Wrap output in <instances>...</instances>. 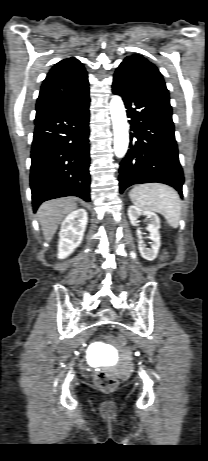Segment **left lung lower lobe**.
Listing matches in <instances>:
<instances>
[{
	"instance_id": "left-lung-lower-lobe-1",
	"label": "left lung lower lobe",
	"mask_w": 208,
	"mask_h": 461,
	"mask_svg": "<svg viewBox=\"0 0 208 461\" xmlns=\"http://www.w3.org/2000/svg\"><path fill=\"white\" fill-rule=\"evenodd\" d=\"M112 91L122 97L133 131L130 149L120 163V193L134 184L159 182L174 187L182 197L184 175L169 95L136 86L117 74Z\"/></svg>"
}]
</instances>
